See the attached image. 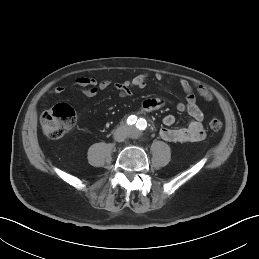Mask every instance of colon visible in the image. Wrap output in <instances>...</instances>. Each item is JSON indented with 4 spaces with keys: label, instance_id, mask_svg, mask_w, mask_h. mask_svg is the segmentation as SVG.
<instances>
[{
    "label": "colon",
    "instance_id": "obj_1",
    "mask_svg": "<svg viewBox=\"0 0 259 259\" xmlns=\"http://www.w3.org/2000/svg\"><path fill=\"white\" fill-rule=\"evenodd\" d=\"M76 123V112L68 104L60 103L45 111L40 117V126L44 135L51 139H59L70 131ZM211 132H219L222 122L211 119L208 124Z\"/></svg>",
    "mask_w": 259,
    "mask_h": 259
}]
</instances>
